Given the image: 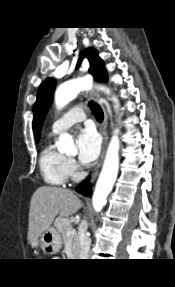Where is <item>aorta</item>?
I'll return each mask as SVG.
<instances>
[{
  "mask_svg": "<svg viewBox=\"0 0 175 287\" xmlns=\"http://www.w3.org/2000/svg\"><path fill=\"white\" fill-rule=\"evenodd\" d=\"M87 88L85 82L81 79L68 81L60 85L55 92V104L58 109L66 106L70 101L76 98L78 93ZM100 90L107 94L110 90L105 87H100ZM115 108L119 106L118 100L113 97ZM119 130L116 129L113 137L110 140L105 160L98 181L96 183L95 191L92 197L93 208L96 212H100L106 204L107 196L112 191L114 183L117 179L119 169V146L118 138ZM57 149L61 153H75L77 151L73 138L68 133H63L59 136L56 143Z\"/></svg>",
  "mask_w": 175,
  "mask_h": 287,
  "instance_id": "obj_1",
  "label": "aorta"
}]
</instances>
